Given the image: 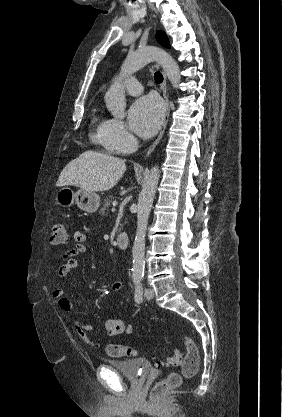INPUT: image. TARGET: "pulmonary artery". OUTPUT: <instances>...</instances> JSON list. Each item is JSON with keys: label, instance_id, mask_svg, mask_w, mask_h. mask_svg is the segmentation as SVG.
Segmentation results:
<instances>
[{"label": "pulmonary artery", "instance_id": "e3ab8cb5", "mask_svg": "<svg viewBox=\"0 0 282 417\" xmlns=\"http://www.w3.org/2000/svg\"><path fill=\"white\" fill-rule=\"evenodd\" d=\"M124 87L131 95H138L142 92V84L134 76L128 77L124 80Z\"/></svg>", "mask_w": 282, "mask_h": 417}]
</instances>
